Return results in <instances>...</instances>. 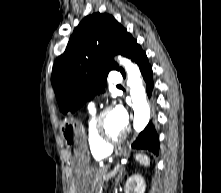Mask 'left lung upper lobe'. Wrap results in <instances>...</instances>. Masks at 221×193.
<instances>
[{"label": "left lung upper lobe", "instance_id": "obj_1", "mask_svg": "<svg viewBox=\"0 0 221 193\" xmlns=\"http://www.w3.org/2000/svg\"><path fill=\"white\" fill-rule=\"evenodd\" d=\"M136 43L112 15L86 16L53 66L51 80L61 111L75 112L96 94L104 92L109 71L123 70L112 60L113 55L128 57Z\"/></svg>", "mask_w": 221, "mask_h": 193}]
</instances>
